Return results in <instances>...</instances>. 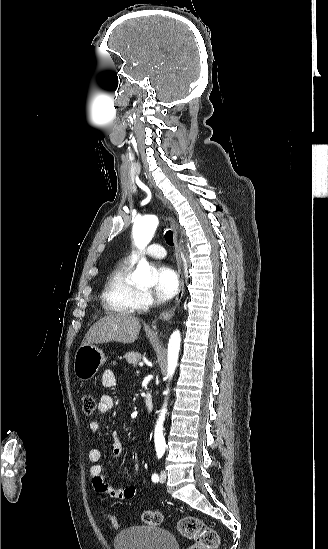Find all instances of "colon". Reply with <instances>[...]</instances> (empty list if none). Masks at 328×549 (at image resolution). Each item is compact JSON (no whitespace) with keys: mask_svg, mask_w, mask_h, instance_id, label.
<instances>
[{"mask_svg":"<svg viewBox=\"0 0 328 549\" xmlns=\"http://www.w3.org/2000/svg\"><path fill=\"white\" fill-rule=\"evenodd\" d=\"M82 406L85 414H92L96 409V400L93 395H83ZM105 520L112 528L117 529L119 527V521L115 516L106 514ZM162 520V514L157 510H147L142 514V521L148 525H160ZM177 529L183 538L192 541L187 549H216L219 546L218 533L197 517H182L178 521Z\"/></svg>","mask_w":328,"mask_h":549,"instance_id":"5ec220e1","label":"colon"}]
</instances>
